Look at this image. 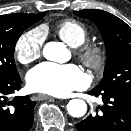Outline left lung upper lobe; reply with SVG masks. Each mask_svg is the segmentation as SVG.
<instances>
[{"instance_id": "1", "label": "left lung upper lobe", "mask_w": 131, "mask_h": 131, "mask_svg": "<svg viewBox=\"0 0 131 131\" xmlns=\"http://www.w3.org/2000/svg\"><path fill=\"white\" fill-rule=\"evenodd\" d=\"M74 14L93 21L105 43L107 63L103 79L95 89L131 92V28L118 17L102 10L86 9Z\"/></svg>"}]
</instances>
